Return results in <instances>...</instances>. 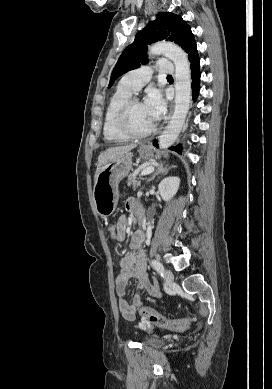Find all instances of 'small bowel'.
<instances>
[{
	"label": "small bowel",
	"instance_id": "1",
	"mask_svg": "<svg viewBox=\"0 0 272 389\" xmlns=\"http://www.w3.org/2000/svg\"><path fill=\"white\" fill-rule=\"evenodd\" d=\"M127 209L134 215L139 216L140 205L134 200L127 201ZM118 235L116 240L122 241L125 238L127 228V218L121 216L117 222ZM143 233L136 232L131 238L132 251L123 255L119 260L120 272L115 280V290L117 295L118 308L122 316L129 321L136 318L138 309L143 305L140 292L146 290L150 295L159 297V287L155 279H151L142 251ZM131 278L137 280L136 291L132 297V304H129L126 297V289ZM146 327V325H144Z\"/></svg>",
	"mask_w": 272,
	"mask_h": 389
}]
</instances>
